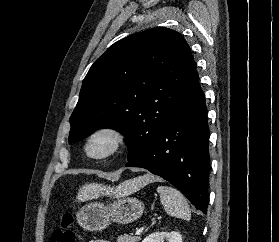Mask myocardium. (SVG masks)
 <instances>
[{
	"label": "myocardium",
	"instance_id": "obj_1",
	"mask_svg": "<svg viewBox=\"0 0 279 242\" xmlns=\"http://www.w3.org/2000/svg\"><path fill=\"white\" fill-rule=\"evenodd\" d=\"M101 136H107L110 141V147L107 151L100 155H93L90 151L92 142ZM126 136L124 132L113 125H102L94 129L86 139L85 152L86 155L93 160H105L116 155L125 145Z\"/></svg>",
	"mask_w": 279,
	"mask_h": 242
}]
</instances>
